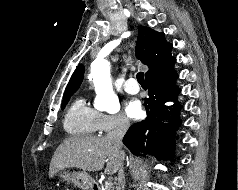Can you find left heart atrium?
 <instances>
[{
	"label": "left heart atrium",
	"instance_id": "1",
	"mask_svg": "<svg viewBox=\"0 0 238 190\" xmlns=\"http://www.w3.org/2000/svg\"><path fill=\"white\" fill-rule=\"evenodd\" d=\"M127 114L132 118H139L142 115L141 104L138 100H131L126 106Z\"/></svg>",
	"mask_w": 238,
	"mask_h": 190
}]
</instances>
